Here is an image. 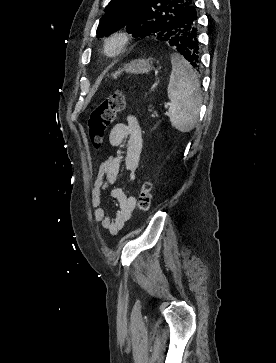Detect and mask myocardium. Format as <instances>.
Instances as JSON below:
<instances>
[{"instance_id": "myocardium-1", "label": "myocardium", "mask_w": 276, "mask_h": 363, "mask_svg": "<svg viewBox=\"0 0 276 363\" xmlns=\"http://www.w3.org/2000/svg\"><path fill=\"white\" fill-rule=\"evenodd\" d=\"M133 35L130 31L120 28L111 32L104 40V53L108 57L121 55L131 43Z\"/></svg>"}]
</instances>
